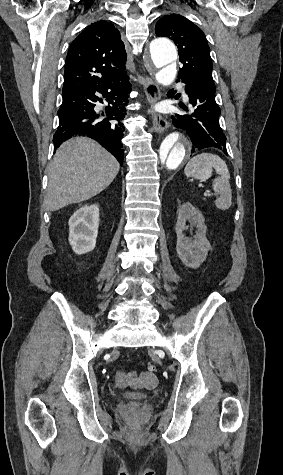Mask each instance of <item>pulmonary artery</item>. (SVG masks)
<instances>
[{"mask_svg": "<svg viewBox=\"0 0 283 475\" xmlns=\"http://www.w3.org/2000/svg\"><path fill=\"white\" fill-rule=\"evenodd\" d=\"M180 92L183 94L185 91L182 89ZM186 99H187V97H186Z\"/></svg>", "mask_w": 283, "mask_h": 475, "instance_id": "pulmonary-artery-1", "label": "pulmonary artery"}]
</instances>
